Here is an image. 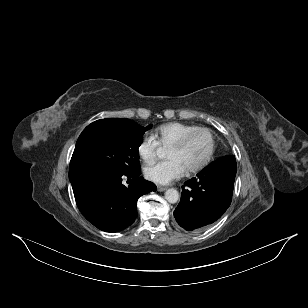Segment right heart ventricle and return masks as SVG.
Listing matches in <instances>:
<instances>
[{"label": "right heart ventricle", "mask_w": 308, "mask_h": 308, "mask_svg": "<svg viewBox=\"0 0 308 308\" xmlns=\"http://www.w3.org/2000/svg\"><path fill=\"white\" fill-rule=\"evenodd\" d=\"M196 128L198 126L193 124L168 122L155 128L152 137L159 146L168 147L180 139L185 133Z\"/></svg>", "instance_id": "obj_1"}]
</instances>
